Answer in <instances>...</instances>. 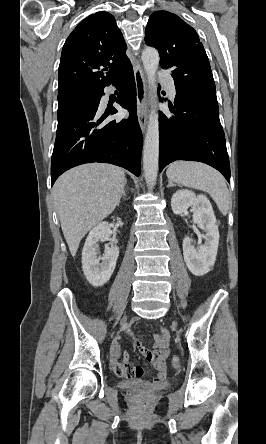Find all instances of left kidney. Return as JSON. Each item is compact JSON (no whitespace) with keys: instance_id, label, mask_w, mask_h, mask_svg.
Wrapping results in <instances>:
<instances>
[{"instance_id":"left-kidney-1","label":"left kidney","mask_w":266,"mask_h":444,"mask_svg":"<svg viewBox=\"0 0 266 444\" xmlns=\"http://www.w3.org/2000/svg\"><path fill=\"white\" fill-rule=\"evenodd\" d=\"M172 211L182 214L192 207L193 221L205 231L200 237L205 243L196 249L191 239L186 236L183 239V256L189 271L196 276L208 273L215 264L219 231L217 220L210 201L204 195H197L189 190L176 191L171 199Z\"/></svg>"}]
</instances>
